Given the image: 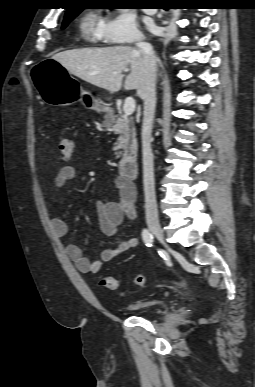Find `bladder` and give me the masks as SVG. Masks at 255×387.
<instances>
[{"mask_svg":"<svg viewBox=\"0 0 255 387\" xmlns=\"http://www.w3.org/2000/svg\"><path fill=\"white\" fill-rule=\"evenodd\" d=\"M165 306V301L161 297L149 298L134 304V311L139 314H147L152 310Z\"/></svg>","mask_w":255,"mask_h":387,"instance_id":"31cf9c89","label":"bladder"}]
</instances>
